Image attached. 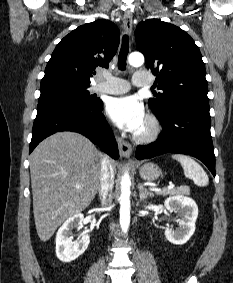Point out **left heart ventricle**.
Listing matches in <instances>:
<instances>
[{"instance_id":"obj_1","label":"left heart ventricle","mask_w":233,"mask_h":283,"mask_svg":"<svg viewBox=\"0 0 233 283\" xmlns=\"http://www.w3.org/2000/svg\"><path fill=\"white\" fill-rule=\"evenodd\" d=\"M148 125L147 122L144 121L141 127L139 128L138 132H144L147 129Z\"/></svg>"}]
</instances>
